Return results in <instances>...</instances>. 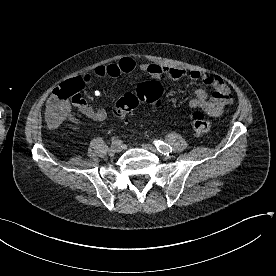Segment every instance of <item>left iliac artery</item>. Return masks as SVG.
<instances>
[{"instance_id": "44dca946", "label": "left iliac artery", "mask_w": 276, "mask_h": 276, "mask_svg": "<svg viewBox=\"0 0 276 276\" xmlns=\"http://www.w3.org/2000/svg\"><path fill=\"white\" fill-rule=\"evenodd\" d=\"M153 143L155 144L159 152L167 155L169 154V152H171V147L168 144L159 140L158 141L156 140Z\"/></svg>"}]
</instances>
